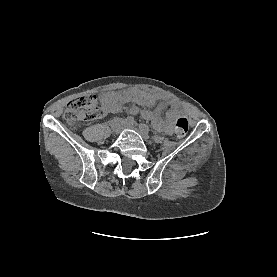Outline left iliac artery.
<instances>
[{
    "label": "left iliac artery",
    "instance_id": "obj_1",
    "mask_svg": "<svg viewBox=\"0 0 277 277\" xmlns=\"http://www.w3.org/2000/svg\"><path fill=\"white\" fill-rule=\"evenodd\" d=\"M139 128H140V130H142L146 134H148L150 132V129L146 124L140 123Z\"/></svg>",
    "mask_w": 277,
    "mask_h": 277
}]
</instances>
